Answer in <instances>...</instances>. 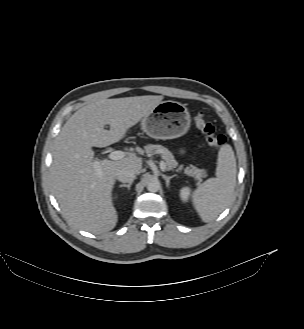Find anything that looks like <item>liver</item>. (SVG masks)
Returning <instances> with one entry per match:
<instances>
[{"label":"liver","mask_w":304,"mask_h":329,"mask_svg":"<svg viewBox=\"0 0 304 329\" xmlns=\"http://www.w3.org/2000/svg\"><path fill=\"white\" fill-rule=\"evenodd\" d=\"M162 99L155 95L99 99L66 121L54 143L50 179L63 214L75 226L93 234L116 226L112 190L117 173L129 169L139 174L142 159L129 154L120 160L96 161L92 147H106L123 139L128 129L149 115ZM105 125L110 130L104 129Z\"/></svg>","instance_id":"obj_1"}]
</instances>
